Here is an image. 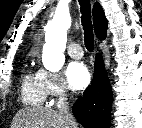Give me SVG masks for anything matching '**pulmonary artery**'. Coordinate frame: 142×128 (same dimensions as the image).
Wrapping results in <instances>:
<instances>
[{"instance_id":"e3ab8cb5","label":"pulmonary artery","mask_w":142,"mask_h":128,"mask_svg":"<svg viewBox=\"0 0 142 128\" xmlns=\"http://www.w3.org/2000/svg\"><path fill=\"white\" fill-rule=\"evenodd\" d=\"M68 54L75 59H80L83 56V50L77 43H70L67 47Z\"/></svg>"}]
</instances>
